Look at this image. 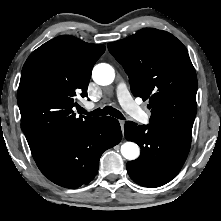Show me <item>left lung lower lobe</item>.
Segmentation results:
<instances>
[{
    "mask_svg": "<svg viewBox=\"0 0 221 221\" xmlns=\"http://www.w3.org/2000/svg\"><path fill=\"white\" fill-rule=\"evenodd\" d=\"M125 138L136 142L141 155L126 165L131 179L145 187H159L172 180L181 170L191 139L165 132L152 124L137 125L127 121Z\"/></svg>",
    "mask_w": 221,
    "mask_h": 221,
    "instance_id": "obj_1",
    "label": "left lung lower lobe"
}]
</instances>
